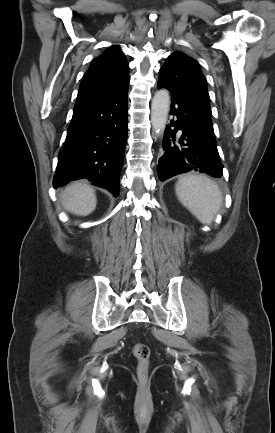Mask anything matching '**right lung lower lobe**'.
Instances as JSON below:
<instances>
[{
    "label": "right lung lower lobe",
    "instance_id": "right-lung-lower-lobe-1",
    "mask_svg": "<svg viewBox=\"0 0 275 433\" xmlns=\"http://www.w3.org/2000/svg\"><path fill=\"white\" fill-rule=\"evenodd\" d=\"M128 88L77 102L58 156L54 188L86 178L115 196L127 140Z\"/></svg>",
    "mask_w": 275,
    "mask_h": 433
}]
</instances>
